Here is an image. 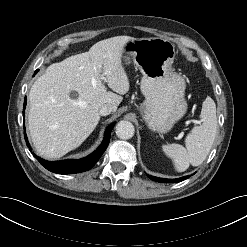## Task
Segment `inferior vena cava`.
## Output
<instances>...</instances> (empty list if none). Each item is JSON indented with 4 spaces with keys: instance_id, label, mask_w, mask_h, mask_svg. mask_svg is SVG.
I'll return each mask as SVG.
<instances>
[{
    "instance_id": "obj_1",
    "label": "inferior vena cava",
    "mask_w": 247,
    "mask_h": 247,
    "mask_svg": "<svg viewBox=\"0 0 247 247\" xmlns=\"http://www.w3.org/2000/svg\"><path fill=\"white\" fill-rule=\"evenodd\" d=\"M111 112H113V107L109 104H104L99 109V114L101 116L109 115Z\"/></svg>"
}]
</instances>
